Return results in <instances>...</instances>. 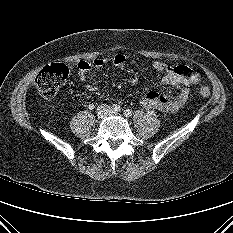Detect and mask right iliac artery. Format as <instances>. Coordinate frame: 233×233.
<instances>
[{
	"instance_id": "1",
	"label": "right iliac artery",
	"mask_w": 233,
	"mask_h": 233,
	"mask_svg": "<svg viewBox=\"0 0 233 233\" xmlns=\"http://www.w3.org/2000/svg\"><path fill=\"white\" fill-rule=\"evenodd\" d=\"M112 110H113L114 112H118V111H120V106L117 105V104H114V105L112 106Z\"/></svg>"
}]
</instances>
